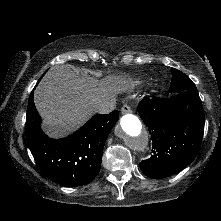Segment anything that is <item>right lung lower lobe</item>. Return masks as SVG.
Returning a JSON list of instances; mask_svg holds the SVG:
<instances>
[{
    "label": "right lung lower lobe",
    "mask_w": 221,
    "mask_h": 221,
    "mask_svg": "<svg viewBox=\"0 0 221 221\" xmlns=\"http://www.w3.org/2000/svg\"><path fill=\"white\" fill-rule=\"evenodd\" d=\"M33 91L28 102L26 138L35 161L58 184L68 187L88 184L100 171L104 144L119 118V111L94 115L72 135L54 140L41 130Z\"/></svg>",
    "instance_id": "1"
}]
</instances>
